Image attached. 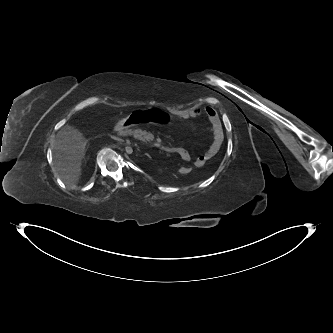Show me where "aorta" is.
<instances>
[{
	"label": "aorta",
	"mask_w": 333,
	"mask_h": 333,
	"mask_svg": "<svg viewBox=\"0 0 333 333\" xmlns=\"http://www.w3.org/2000/svg\"><path fill=\"white\" fill-rule=\"evenodd\" d=\"M132 151H133V150H132L131 147H129V146L126 147V152H127L128 154H131Z\"/></svg>",
	"instance_id": "1"
}]
</instances>
